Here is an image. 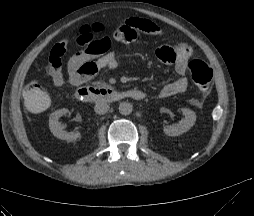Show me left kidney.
<instances>
[{
  "instance_id": "left-kidney-1",
  "label": "left kidney",
  "mask_w": 254,
  "mask_h": 216,
  "mask_svg": "<svg viewBox=\"0 0 254 216\" xmlns=\"http://www.w3.org/2000/svg\"><path fill=\"white\" fill-rule=\"evenodd\" d=\"M185 119L175 125H169L164 127V133L168 136H179L187 132L196 121V114L194 111L188 108L181 109Z\"/></svg>"
}]
</instances>
